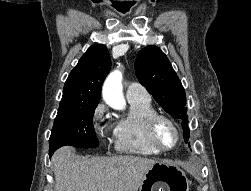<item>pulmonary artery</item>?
I'll list each match as a JSON object with an SVG mask.
<instances>
[{"instance_id":"pulmonary-artery-1","label":"pulmonary artery","mask_w":251,"mask_h":191,"mask_svg":"<svg viewBox=\"0 0 251 191\" xmlns=\"http://www.w3.org/2000/svg\"><path fill=\"white\" fill-rule=\"evenodd\" d=\"M126 97L128 100L136 99V98H143L145 97V93L136 84L131 83L127 85ZM146 98L151 99L152 101V98L150 95H146Z\"/></svg>"}]
</instances>
